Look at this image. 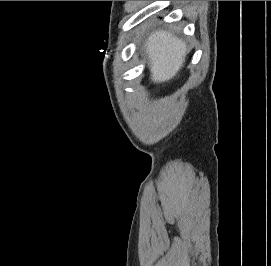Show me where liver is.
<instances>
[{
	"label": "liver",
	"instance_id": "1",
	"mask_svg": "<svg viewBox=\"0 0 271 266\" xmlns=\"http://www.w3.org/2000/svg\"><path fill=\"white\" fill-rule=\"evenodd\" d=\"M151 80L157 83L169 81L182 68L187 46L169 32H153L145 43Z\"/></svg>",
	"mask_w": 271,
	"mask_h": 266
}]
</instances>
